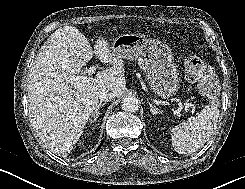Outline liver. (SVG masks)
Listing matches in <instances>:
<instances>
[{"mask_svg":"<svg viewBox=\"0 0 245 189\" xmlns=\"http://www.w3.org/2000/svg\"><path fill=\"white\" fill-rule=\"evenodd\" d=\"M96 56L112 67L88 76L82 67ZM82 77L75 81L74 76ZM126 88L124 63L104 38L94 50L73 26L57 29L37 54L27 84L30 122L45 146L66 157L97 108L99 93L109 89L120 97Z\"/></svg>","mask_w":245,"mask_h":189,"instance_id":"liver-1","label":"liver"}]
</instances>
